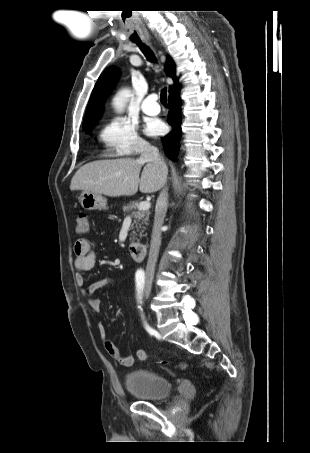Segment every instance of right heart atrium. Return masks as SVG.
Here are the masks:
<instances>
[{
    "instance_id": "obj_1",
    "label": "right heart atrium",
    "mask_w": 310,
    "mask_h": 453,
    "mask_svg": "<svg viewBox=\"0 0 310 453\" xmlns=\"http://www.w3.org/2000/svg\"><path fill=\"white\" fill-rule=\"evenodd\" d=\"M104 153L110 157L131 156L147 147L137 132V126L124 117L107 120L100 131Z\"/></svg>"
}]
</instances>
